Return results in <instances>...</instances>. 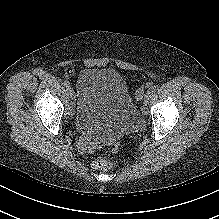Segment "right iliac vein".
<instances>
[{"label": "right iliac vein", "instance_id": "1", "mask_svg": "<svg viewBox=\"0 0 219 219\" xmlns=\"http://www.w3.org/2000/svg\"><path fill=\"white\" fill-rule=\"evenodd\" d=\"M68 92H69L70 97H71L72 99H74V91H73V89L69 87V88H68Z\"/></svg>", "mask_w": 219, "mask_h": 219}]
</instances>
